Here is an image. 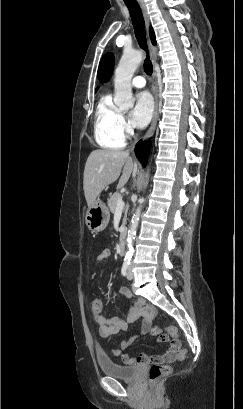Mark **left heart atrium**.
I'll return each instance as SVG.
<instances>
[{"label": "left heart atrium", "instance_id": "left-heart-atrium-1", "mask_svg": "<svg viewBox=\"0 0 243 409\" xmlns=\"http://www.w3.org/2000/svg\"><path fill=\"white\" fill-rule=\"evenodd\" d=\"M154 111L153 100L147 91L137 94L135 105L130 113V121L135 127L146 126L152 118Z\"/></svg>", "mask_w": 243, "mask_h": 409}]
</instances>
